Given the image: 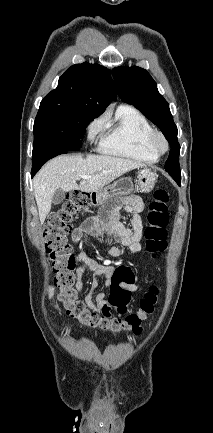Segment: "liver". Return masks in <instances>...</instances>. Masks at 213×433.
Returning <instances> with one entry per match:
<instances>
[{
	"instance_id": "1",
	"label": "liver",
	"mask_w": 213,
	"mask_h": 433,
	"mask_svg": "<svg viewBox=\"0 0 213 433\" xmlns=\"http://www.w3.org/2000/svg\"><path fill=\"white\" fill-rule=\"evenodd\" d=\"M144 167V164L129 159L108 155L59 156L46 163L33 179L39 219L44 223L51 210L52 198L57 189L65 192L80 190L85 193L97 191L121 175ZM81 175H90L76 183Z\"/></svg>"
}]
</instances>
